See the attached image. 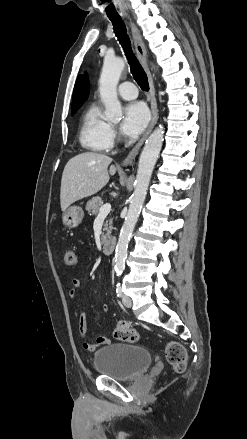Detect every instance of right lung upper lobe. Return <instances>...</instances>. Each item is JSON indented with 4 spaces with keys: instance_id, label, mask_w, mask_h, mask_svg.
Returning <instances> with one entry per match:
<instances>
[{
    "instance_id": "cb5924a9",
    "label": "right lung upper lobe",
    "mask_w": 247,
    "mask_h": 439,
    "mask_svg": "<svg viewBox=\"0 0 247 439\" xmlns=\"http://www.w3.org/2000/svg\"><path fill=\"white\" fill-rule=\"evenodd\" d=\"M88 94L89 88L87 77L79 75L74 86L72 110L79 109L88 98Z\"/></svg>"
}]
</instances>
